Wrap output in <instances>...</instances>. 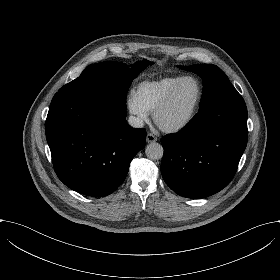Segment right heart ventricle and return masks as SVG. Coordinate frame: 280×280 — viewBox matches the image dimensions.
<instances>
[{
  "label": "right heart ventricle",
  "mask_w": 280,
  "mask_h": 280,
  "mask_svg": "<svg viewBox=\"0 0 280 280\" xmlns=\"http://www.w3.org/2000/svg\"><path fill=\"white\" fill-rule=\"evenodd\" d=\"M183 77L184 75L173 74L145 79L135 86L133 93L148 112H154Z\"/></svg>",
  "instance_id": "obj_1"
}]
</instances>
